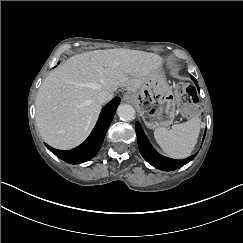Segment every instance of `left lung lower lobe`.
I'll use <instances>...</instances> for the list:
<instances>
[{
    "instance_id": "left-lung-lower-lobe-1",
    "label": "left lung lower lobe",
    "mask_w": 243,
    "mask_h": 243,
    "mask_svg": "<svg viewBox=\"0 0 243 243\" xmlns=\"http://www.w3.org/2000/svg\"><path fill=\"white\" fill-rule=\"evenodd\" d=\"M191 78L194 81V83L196 84V86L198 87V83H197L196 79L193 76H191ZM198 89H199V87H198ZM135 128H136V134H137V140H138L140 153L142 154L144 159L148 163H150L152 166H154L155 168H158L163 171L176 170V169L184 166L188 162H190L197 155V153H196L184 160H176V159H171V158L161 156L159 153H157L155 151V149L149 143L139 122H136Z\"/></svg>"
}]
</instances>
